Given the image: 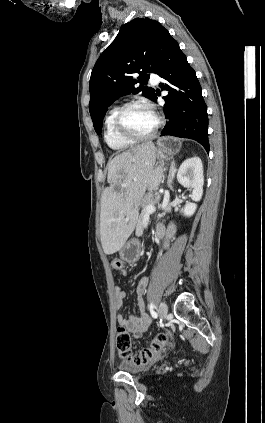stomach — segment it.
I'll return each mask as SVG.
<instances>
[{
  "label": "stomach",
  "mask_w": 265,
  "mask_h": 423,
  "mask_svg": "<svg viewBox=\"0 0 265 423\" xmlns=\"http://www.w3.org/2000/svg\"><path fill=\"white\" fill-rule=\"evenodd\" d=\"M177 150L178 146L171 138H162L158 141L157 156L163 161L172 159ZM119 255L124 261L128 263L137 262L141 256L139 240L133 238L127 241L120 249Z\"/></svg>",
  "instance_id": "1"
}]
</instances>
